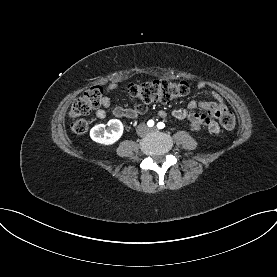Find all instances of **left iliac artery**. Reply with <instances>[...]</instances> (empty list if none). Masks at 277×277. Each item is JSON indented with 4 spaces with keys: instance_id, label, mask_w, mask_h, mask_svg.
I'll return each mask as SVG.
<instances>
[{
    "instance_id": "obj_1",
    "label": "left iliac artery",
    "mask_w": 277,
    "mask_h": 277,
    "mask_svg": "<svg viewBox=\"0 0 277 277\" xmlns=\"http://www.w3.org/2000/svg\"><path fill=\"white\" fill-rule=\"evenodd\" d=\"M165 127V124L163 123V122H159L158 124H157V128L158 129H163Z\"/></svg>"
}]
</instances>
